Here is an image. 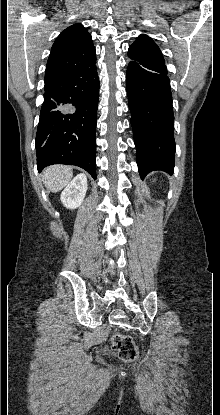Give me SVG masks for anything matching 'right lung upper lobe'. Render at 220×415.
I'll use <instances>...</instances> for the list:
<instances>
[{"label":"right lung upper lobe","mask_w":220,"mask_h":415,"mask_svg":"<svg viewBox=\"0 0 220 415\" xmlns=\"http://www.w3.org/2000/svg\"><path fill=\"white\" fill-rule=\"evenodd\" d=\"M90 33L81 24L66 28L55 40L49 55L45 82L68 75L96 61Z\"/></svg>","instance_id":"cb5924a9"}]
</instances>
